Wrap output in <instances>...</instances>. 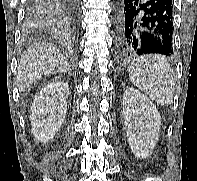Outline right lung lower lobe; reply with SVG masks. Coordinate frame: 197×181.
Here are the masks:
<instances>
[{
	"label": "right lung lower lobe",
	"instance_id": "obj_1",
	"mask_svg": "<svg viewBox=\"0 0 197 181\" xmlns=\"http://www.w3.org/2000/svg\"><path fill=\"white\" fill-rule=\"evenodd\" d=\"M79 13L80 0H30L28 24L72 38L78 27Z\"/></svg>",
	"mask_w": 197,
	"mask_h": 181
}]
</instances>
